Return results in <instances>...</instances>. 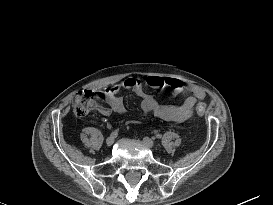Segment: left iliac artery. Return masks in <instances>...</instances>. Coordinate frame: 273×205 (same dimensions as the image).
I'll use <instances>...</instances> for the list:
<instances>
[{
	"label": "left iliac artery",
	"mask_w": 273,
	"mask_h": 205,
	"mask_svg": "<svg viewBox=\"0 0 273 205\" xmlns=\"http://www.w3.org/2000/svg\"><path fill=\"white\" fill-rule=\"evenodd\" d=\"M162 136L160 134L156 135V138L160 139Z\"/></svg>",
	"instance_id": "obj_1"
}]
</instances>
